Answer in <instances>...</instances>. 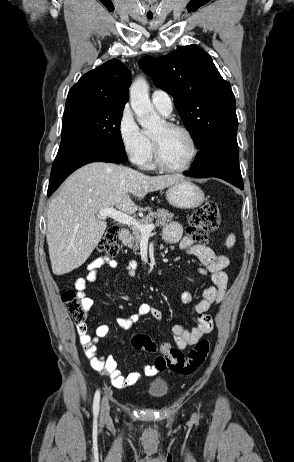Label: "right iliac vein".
<instances>
[{
	"mask_svg": "<svg viewBox=\"0 0 294 462\" xmlns=\"http://www.w3.org/2000/svg\"><path fill=\"white\" fill-rule=\"evenodd\" d=\"M109 402L106 397L103 398L102 403H101V418L102 419H107L109 417Z\"/></svg>",
	"mask_w": 294,
	"mask_h": 462,
	"instance_id": "obj_1",
	"label": "right iliac vein"
}]
</instances>
